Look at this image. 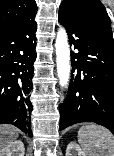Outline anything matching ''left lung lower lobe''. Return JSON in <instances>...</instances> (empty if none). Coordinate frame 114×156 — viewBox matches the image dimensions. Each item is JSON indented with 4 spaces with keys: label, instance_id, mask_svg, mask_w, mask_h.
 <instances>
[{
    "label": "left lung lower lobe",
    "instance_id": "left-lung-lower-lobe-1",
    "mask_svg": "<svg viewBox=\"0 0 114 156\" xmlns=\"http://www.w3.org/2000/svg\"><path fill=\"white\" fill-rule=\"evenodd\" d=\"M58 21L66 28L72 53L67 96L60 105V131L79 122H94L114 134L113 35L60 5Z\"/></svg>",
    "mask_w": 114,
    "mask_h": 156
}]
</instances>
